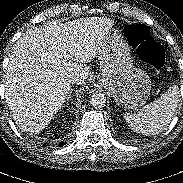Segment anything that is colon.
<instances>
[{
  "label": "colon",
  "mask_w": 183,
  "mask_h": 183,
  "mask_svg": "<svg viewBox=\"0 0 183 183\" xmlns=\"http://www.w3.org/2000/svg\"><path fill=\"white\" fill-rule=\"evenodd\" d=\"M124 34L130 44L136 49L138 56L156 70L165 63V49L150 34L143 24H132L125 27Z\"/></svg>",
  "instance_id": "obj_1"
}]
</instances>
